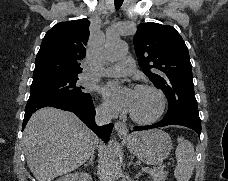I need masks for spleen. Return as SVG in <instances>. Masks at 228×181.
I'll return each mask as SVG.
<instances>
[{"mask_svg": "<svg viewBox=\"0 0 228 181\" xmlns=\"http://www.w3.org/2000/svg\"><path fill=\"white\" fill-rule=\"evenodd\" d=\"M175 151L177 167L174 171L176 181H190L195 167V151L192 143L185 141L184 137L177 139Z\"/></svg>", "mask_w": 228, "mask_h": 181, "instance_id": "3e777b00", "label": "spleen"}]
</instances>
